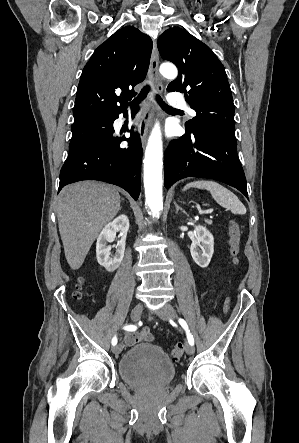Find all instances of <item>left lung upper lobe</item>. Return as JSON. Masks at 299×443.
<instances>
[{
	"mask_svg": "<svg viewBox=\"0 0 299 443\" xmlns=\"http://www.w3.org/2000/svg\"><path fill=\"white\" fill-rule=\"evenodd\" d=\"M164 60L176 64L178 77L167 90L185 93L197 115L187 132L212 129L235 137L234 103L225 68L213 51L181 28L166 30L157 41Z\"/></svg>",
	"mask_w": 299,
	"mask_h": 443,
	"instance_id": "5c2ea615",
	"label": "left lung upper lobe"
}]
</instances>
